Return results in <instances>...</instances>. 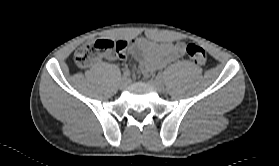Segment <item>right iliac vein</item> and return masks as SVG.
Wrapping results in <instances>:
<instances>
[{"label": "right iliac vein", "mask_w": 279, "mask_h": 166, "mask_svg": "<svg viewBox=\"0 0 279 166\" xmlns=\"http://www.w3.org/2000/svg\"><path fill=\"white\" fill-rule=\"evenodd\" d=\"M128 83H129V80H128L127 78H124V77H123V78L120 80V82H119V88H120V89L126 88L127 85H128Z\"/></svg>", "instance_id": "obj_1"}]
</instances>
